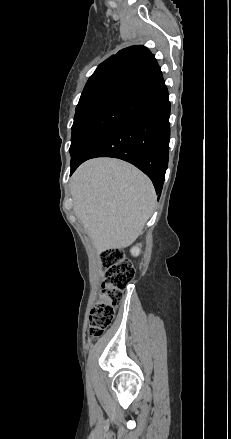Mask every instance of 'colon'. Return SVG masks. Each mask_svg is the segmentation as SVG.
<instances>
[{
    "mask_svg": "<svg viewBox=\"0 0 231 439\" xmlns=\"http://www.w3.org/2000/svg\"><path fill=\"white\" fill-rule=\"evenodd\" d=\"M101 260L106 269V279L99 299L90 314L89 333L93 339L101 337L113 321L123 292L134 277V268L124 258L121 249L105 250Z\"/></svg>",
    "mask_w": 231,
    "mask_h": 439,
    "instance_id": "5ec220e1",
    "label": "colon"
}]
</instances>
